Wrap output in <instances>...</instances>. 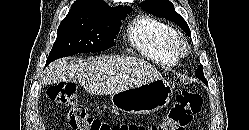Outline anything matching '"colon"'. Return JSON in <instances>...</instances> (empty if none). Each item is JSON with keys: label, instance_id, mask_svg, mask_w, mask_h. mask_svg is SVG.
Masks as SVG:
<instances>
[{"label": "colon", "instance_id": "colon-1", "mask_svg": "<svg viewBox=\"0 0 249 130\" xmlns=\"http://www.w3.org/2000/svg\"><path fill=\"white\" fill-rule=\"evenodd\" d=\"M47 95L66 109L71 130H185L203 104L201 95L191 90H183L176 96L172 107L160 123L143 126L135 123L110 124L92 117L78 101L73 83L52 85L48 88Z\"/></svg>", "mask_w": 249, "mask_h": 130}]
</instances>
